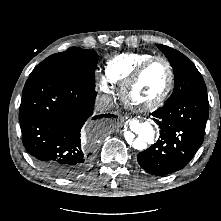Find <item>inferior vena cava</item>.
<instances>
[{"instance_id": "1", "label": "inferior vena cava", "mask_w": 221, "mask_h": 221, "mask_svg": "<svg viewBox=\"0 0 221 221\" xmlns=\"http://www.w3.org/2000/svg\"><path fill=\"white\" fill-rule=\"evenodd\" d=\"M113 106L112 98L108 95L98 96L95 100V109L103 112L111 109Z\"/></svg>"}]
</instances>
